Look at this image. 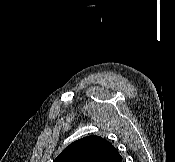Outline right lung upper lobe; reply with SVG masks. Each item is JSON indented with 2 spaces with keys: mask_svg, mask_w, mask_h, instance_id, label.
<instances>
[{
  "mask_svg": "<svg viewBox=\"0 0 175 162\" xmlns=\"http://www.w3.org/2000/svg\"><path fill=\"white\" fill-rule=\"evenodd\" d=\"M122 157L106 139L87 136L67 146L53 162H121Z\"/></svg>",
  "mask_w": 175,
  "mask_h": 162,
  "instance_id": "1",
  "label": "right lung upper lobe"
}]
</instances>
